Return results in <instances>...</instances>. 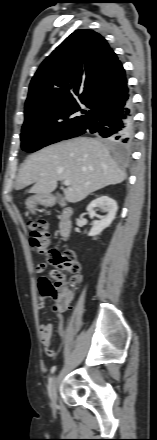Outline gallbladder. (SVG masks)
Wrapping results in <instances>:
<instances>
[{
    "instance_id": "obj_1",
    "label": "gallbladder",
    "mask_w": 157,
    "mask_h": 440,
    "mask_svg": "<svg viewBox=\"0 0 157 440\" xmlns=\"http://www.w3.org/2000/svg\"><path fill=\"white\" fill-rule=\"evenodd\" d=\"M56 199H57L58 201H61V200H63V196H62L61 194L57 193V194H56Z\"/></svg>"
}]
</instances>
